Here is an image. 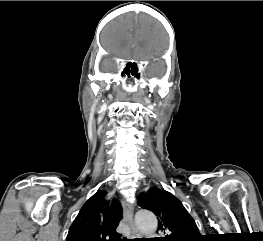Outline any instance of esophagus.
Returning <instances> with one entry per match:
<instances>
[{"label":"esophagus","mask_w":263,"mask_h":241,"mask_svg":"<svg viewBox=\"0 0 263 241\" xmlns=\"http://www.w3.org/2000/svg\"><path fill=\"white\" fill-rule=\"evenodd\" d=\"M122 206L124 211V221L131 229L132 236L134 238L141 237V233L136 228L134 221H133V206L131 203L126 202L125 200H122Z\"/></svg>","instance_id":"obj_1"}]
</instances>
